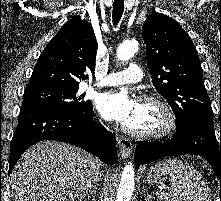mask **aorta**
Listing matches in <instances>:
<instances>
[{
    "instance_id": "1",
    "label": "aorta",
    "mask_w": 221,
    "mask_h": 201,
    "mask_svg": "<svg viewBox=\"0 0 221 201\" xmlns=\"http://www.w3.org/2000/svg\"><path fill=\"white\" fill-rule=\"evenodd\" d=\"M136 40L124 41L117 50V57L121 62L131 59L138 51ZM135 174L132 163H128L121 174V180L115 201H130L134 191Z\"/></svg>"
}]
</instances>
